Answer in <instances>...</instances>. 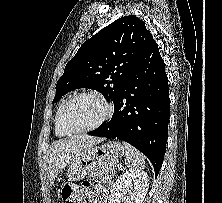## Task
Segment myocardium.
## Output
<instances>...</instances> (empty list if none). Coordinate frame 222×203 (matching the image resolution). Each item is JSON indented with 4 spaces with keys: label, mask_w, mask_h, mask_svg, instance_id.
<instances>
[{
    "label": "myocardium",
    "mask_w": 222,
    "mask_h": 203,
    "mask_svg": "<svg viewBox=\"0 0 222 203\" xmlns=\"http://www.w3.org/2000/svg\"><path fill=\"white\" fill-rule=\"evenodd\" d=\"M78 97H92L98 100L104 106L105 112L103 116L100 118V120H98L95 124L84 128H71L65 123L64 120L65 111L68 105ZM112 114H113V105L104 96L96 92H79L71 95L69 98L65 100L60 109L58 121L60 127L68 133H85L93 131L102 126L106 121H108L111 118Z\"/></svg>",
    "instance_id": "myocardium-1"
}]
</instances>
